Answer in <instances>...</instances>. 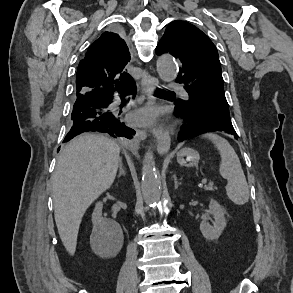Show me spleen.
I'll return each mask as SVG.
<instances>
[{"mask_svg":"<svg viewBox=\"0 0 293 293\" xmlns=\"http://www.w3.org/2000/svg\"><path fill=\"white\" fill-rule=\"evenodd\" d=\"M203 137L211 140L220 153L219 173L228 181V198L237 205L245 204L249 200V187L235 150L226 139L215 133H207Z\"/></svg>","mask_w":293,"mask_h":293,"instance_id":"3e777b00","label":"spleen"}]
</instances>
